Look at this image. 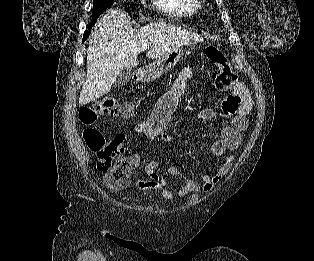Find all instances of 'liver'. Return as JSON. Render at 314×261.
I'll return each instance as SVG.
<instances>
[{
    "label": "liver",
    "instance_id": "obj_1",
    "mask_svg": "<svg viewBox=\"0 0 314 261\" xmlns=\"http://www.w3.org/2000/svg\"><path fill=\"white\" fill-rule=\"evenodd\" d=\"M202 41L197 34L163 22L134 30L126 14L110 9L94 29V41L87 49V77L79 96L85 105L107 94L124 68L139 64L138 53L150 46L147 57L159 58L183 45Z\"/></svg>",
    "mask_w": 314,
    "mask_h": 261
}]
</instances>
